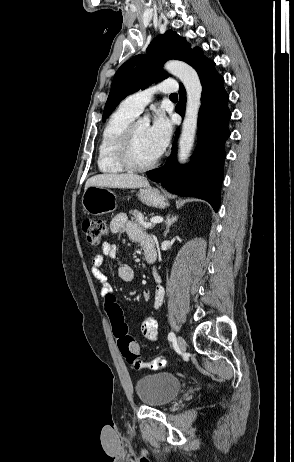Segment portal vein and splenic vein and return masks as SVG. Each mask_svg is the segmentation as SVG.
Segmentation results:
<instances>
[{
  "mask_svg": "<svg viewBox=\"0 0 294 462\" xmlns=\"http://www.w3.org/2000/svg\"><path fill=\"white\" fill-rule=\"evenodd\" d=\"M162 221H163V218H161V217H154V218H151V220H150V222L148 223V225L161 223Z\"/></svg>",
  "mask_w": 294,
  "mask_h": 462,
  "instance_id": "portal-vein-and-splenic-vein-1",
  "label": "portal vein and splenic vein"
}]
</instances>
